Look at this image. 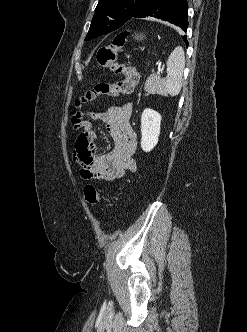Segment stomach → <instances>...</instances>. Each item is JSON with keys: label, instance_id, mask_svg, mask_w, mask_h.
Wrapping results in <instances>:
<instances>
[{"label": "stomach", "instance_id": "obj_1", "mask_svg": "<svg viewBox=\"0 0 247 332\" xmlns=\"http://www.w3.org/2000/svg\"><path fill=\"white\" fill-rule=\"evenodd\" d=\"M143 37H144L143 35H136V36H135V38H136L137 40H138V39L142 40Z\"/></svg>", "mask_w": 247, "mask_h": 332}]
</instances>
